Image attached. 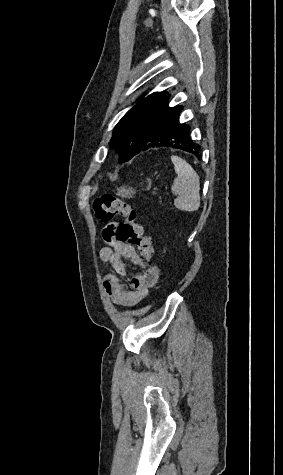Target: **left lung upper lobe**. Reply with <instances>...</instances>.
<instances>
[{
    "label": "left lung upper lobe",
    "instance_id": "left-lung-upper-lobe-1",
    "mask_svg": "<svg viewBox=\"0 0 283 475\" xmlns=\"http://www.w3.org/2000/svg\"><path fill=\"white\" fill-rule=\"evenodd\" d=\"M167 95V92H155L144 99L138 100L136 105L133 106L116 125L110 141V147L113 148L123 134H132L135 136L140 134L153 108Z\"/></svg>",
    "mask_w": 283,
    "mask_h": 475
}]
</instances>
